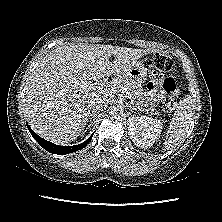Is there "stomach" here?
Returning <instances> with one entry per match:
<instances>
[{
    "mask_svg": "<svg viewBox=\"0 0 222 222\" xmlns=\"http://www.w3.org/2000/svg\"><path fill=\"white\" fill-rule=\"evenodd\" d=\"M146 77L147 69L141 62H135L130 65L123 74V79L129 80L137 86H141V83L146 80Z\"/></svg>",
    "mask_w": 222,
    "mask_h": 222,
    "instance_id": "stomach-1",
    "label": "stomach"
}]
</instances>
